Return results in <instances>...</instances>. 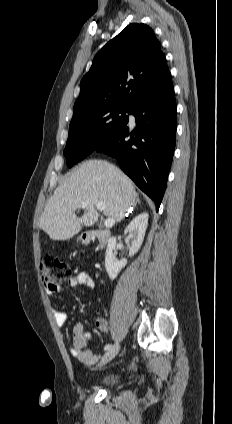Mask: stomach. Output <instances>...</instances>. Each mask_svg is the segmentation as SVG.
I'll use <instances>...</instances> for the list:
<instances>
[{"mask_svg":"<svg viewBox=\"0 0 232 424\" xmlns=\"http://www.w3.org/2000/svg\"><path fill=\"white\" fill-rule=\"evenodd\" d=\"M79 240H83V238H82V237H80V238H79Z\"/></svg>","mask_w":232,"mask_h":424,"instance_id":"1","label":"stomach"}]
</instances>
